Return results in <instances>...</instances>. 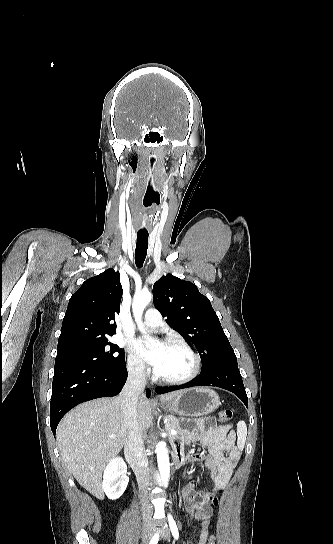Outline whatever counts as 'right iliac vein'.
Masks as SVG:
<instances>
[{"label": "right iliac vein", "instance_id": "obj_1", "mask_svg": "<svg viewBox=\"0 0 333 544\" xmlns=\"http://www.w3.org/2000/svg\"><path fill=\"white\" fill-rule=\"evenodd\" d=\"M154 533V529L151 524H146L143 527L142 531V538L145 543H148V541L152 538Z\"/></svg>", "mask_w": 333, "mask_h": 544}]
</instances>
